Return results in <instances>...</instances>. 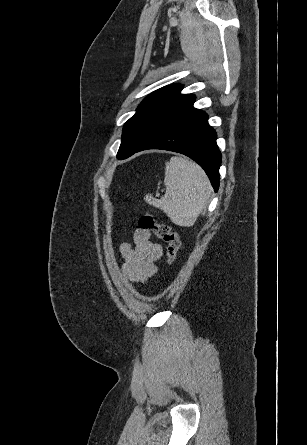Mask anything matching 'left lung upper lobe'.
Wrapping results in <instances>:
<instances>
[{
    "mask_svg": "<svg viewBox=\"0 0 307 445\" xmlns=\"http://www.w3.org/2000/svg\"><path fill=\"white\" fill-rule=\"evenodd\" d=\"M181 85L163 87L146 97L124 124L118 159H125L144 141L193 109L194 95H181Z\"/></svg>",
    "mask_w": 307,
    "mask_h": 445,
    "instance_id": "5c2ea615",
    "label": "left lung upper lobe"
}]
</instances>
